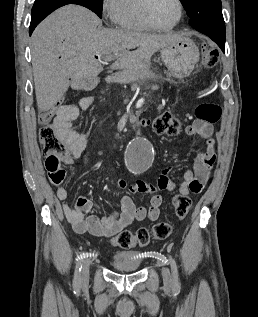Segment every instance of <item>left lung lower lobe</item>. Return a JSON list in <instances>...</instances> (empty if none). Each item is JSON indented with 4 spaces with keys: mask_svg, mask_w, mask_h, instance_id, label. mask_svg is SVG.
I'll return each instance as SVG.
<instances>
[{
    "mask_svg": "<svg viewBox=\"0 0 258 317\" xmlns=\"http://www.w3.org/2000/svg\"><path fill=\"white\" fill-rule=\"evenodd\" d=\"M197 31L209 36L225 52V29L222 28H200Z\"/></svg>",
    "mask_w": 258,
    "mask_h": 317,
    "instance_id": "1",
    "label": "left lung lower lobe"
}]
</instances>
